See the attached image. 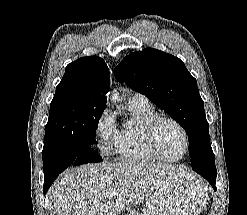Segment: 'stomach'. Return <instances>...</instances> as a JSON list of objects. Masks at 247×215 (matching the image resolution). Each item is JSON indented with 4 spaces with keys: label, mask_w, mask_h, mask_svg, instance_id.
<instances>
[{
    "label": "stomach",
    "mask_w": 247,
    "mask_h": 215,
    "mask_svg": "<svg viewBox=\"0 0 247 215\" xmlns=\"http://www.w3.org/2000/svg\"><path fill=\"white\" fill-rule=\"evenodd\" d=\"M206 200L204 182L184 171L169 178L146 200L141 215H199Z\"/></svg>",
    "instance_id": "stomach-1"
}]
</instances>
